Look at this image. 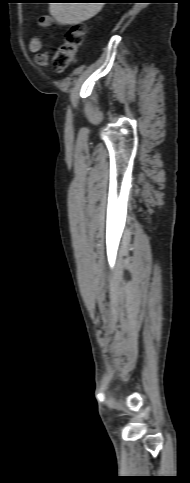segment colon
Returning a JSON list of instances; mask_svg holds the SVG:
<instances>
[{"label": "colon", "instance_id": "obj_1", "mask_svg": "<svg viewBox=\"0 0 190 483\" xmlns=\"http://www.w3.org/2000/svg\"><path fill=\"white\" fill-rule=\"evenodd\" d=\"M84 38V26L73 25L65 36L64 42L53 54V66L56 72H63L75 59V55Z\"/></svg>", "mask_w": 190, "mask_h": 483}]
</instances>
